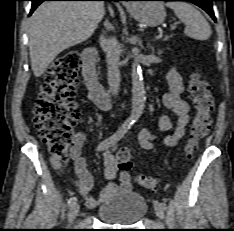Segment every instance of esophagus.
I'll return each instance as SVG.
<instances>
[{"label": "esophagus", "mask_w": 234, "mask_h": 231, "mask_svg": "<svg viewBox=\"0 0 234 231\" xmlns=\"http://www.w3.org/2000/svg\"><path fill=\"white\" fill-rule=\"evenodd\" d=\"M126 6H127V7H129V6H130V4H127Z\"/></svg>", "instance_id": "obj_1"}]
</instances>
